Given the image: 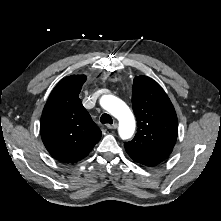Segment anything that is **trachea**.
I'll return each mask as SVG.
<instances>
[{"label": "trachea", "instance_id": "trachea-1", "mask_svg": "<svg viewBox=\"0 0 221 221\" xmlns=\"http://www.w3.org/2000/svg\"><path fill=\"white\" fill-rule=\"evenodd\" d=\"M100 122L103 124H112L113 120L112 117L109 114H103L100 118Z\"/></svg>", "mask_w": 221, "mask_h": 221}]
</instances>
